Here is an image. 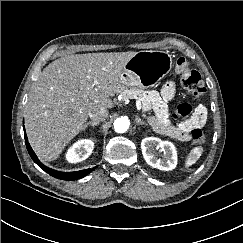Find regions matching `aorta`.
<instances>
[{"mask_svg":"<svg viewBox=\"0 0 243 243\" xmlns=\"http://www.w3.org/2000/svg\"><path fill=\"white\" fill-rule=\"evenodd\" d=\"M129 125L130 121L128 120V118L120 117L114 121V130L117 133H125L128 130Z\"/></svg>","mask_w":243,"mask_h":243,"instance_id":"1","label":"aorta"}]
</instances>
